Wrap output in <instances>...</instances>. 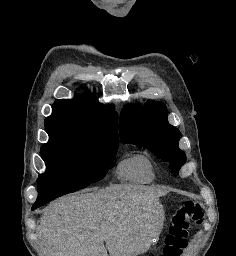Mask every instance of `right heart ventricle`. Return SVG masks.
Returning a JSON list of instances; mask_svg holds the SVG:
<instances>
[{
	"instance_id": "e07e8e85",
	"label": "right heart ventricle",
	"mask_w": 236,
	"mask_h": 256,
	"mask_svg": "<svg viewBox=\"0 0 236 256\" xmlns=\"http://www.w3.org/2000/svg\"><path fill=\"white\" fill-rule=\"evenodd\" d=\"M118 176L122 181L148 184L156 178V172L152 160L145 154H134L118 165Z\"/></svg>"
}]
</instances>
